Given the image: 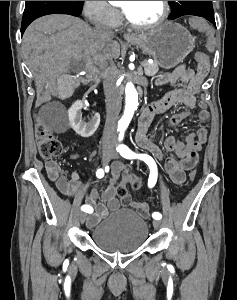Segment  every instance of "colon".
<instances>
[{
    "label": "colon",
    "instance_id": "colon-1",
    "mask_svg": "<svg viewBox=\"0 0 237 300\" xmlns=\"http://www.w3.org/2000/svg\"><path fill=\"white\" fill-rule=\"evenodd\" d=\"M192 28L199 30L206 34L207 46L210 50H214L216 46V39L213 31L208 27L207 23L200 17L193 16L189 20ZM195 61L202 66L209 65V59L205 54L198 53L195 55ZM36 140L40 156L44 159H52L58 157L63 152L61 142L53 135L49 126L43 121H39L36 126ZM196 176V171L191 170L189 173L190 180ZM141 185V180L138 176L127 175L117 188V195L121 198L128 196V186L138 189Z\"/></svg>",
    "mask_w": 237,
    "mask_h": 300
}]
</instances>
